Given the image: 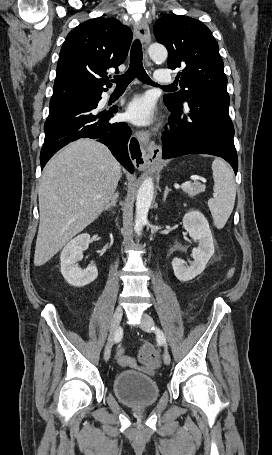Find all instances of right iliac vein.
Masks as SVG:
<instances>
[{
	"label": "right iliac vein",
	"mask_w": 272,
	"mask_h": 455,
	"mask_svg": "<svg viewBox=\"0 0 272 455\" xmlns=\"http://www.w3.org/2000/svg\"><path fill=\"white\" fill-rule=\"evenodd\" d=\"M122 315H123L122 307L118 306L115 309L114 314H113V318H112V322H111V326H110V334H109L107 345H106L105 350H104V360L106 362L110 358L111 348H112V345H113L115 333H116V331H117V329L119 327V324L121 322Z\"/></svg>",
	"instance_id": "63e3f726"
}]
</instances>
